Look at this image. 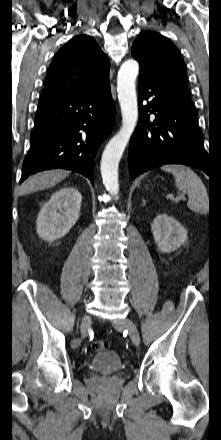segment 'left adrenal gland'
I'll return each instance as SVG.
<instances>
[{
	"mask_svg": "<svg viewBox=\"0 0 221 440\" xmlns=\"http://www.w3.org/2000/svg\"><path fill=\"white\" fill-rule=\"evenodd\" d=\"M142 203H143V206H144V205L146 204V200L143 199V200H142Z\"/></svg>",
	"mask_w": 221,
	"mask_h": 440,
	"instance_id": "1",
	"label": "left adrenal gland"
}]
</instances>
